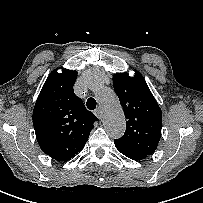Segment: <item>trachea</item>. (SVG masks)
Segmentation results:
<instances>
[{
	"label": "trachea",
	"mask_w": 203,
	"mask_h": 203,
	"mask_svg": "<svg viewBox=\"0 0 203 203\" xmlns=\"http://www.w3.org/2000/svg\"><path fill=\"white\" fill-rule=\"evenodd\" d=\"M87 108L89 110H94L96 108V100L94 98H89L87 100Z\"/></svg>",
	"instance_id": "trachea-1"
}]
</instances>
